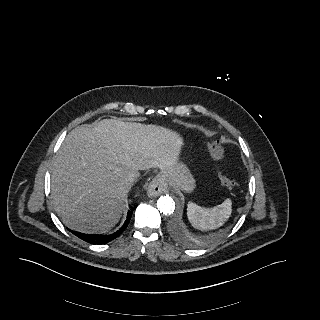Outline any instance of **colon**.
Segmentation results:
<instances>
[{
  "instance_id": "colon-1",
  "label": "colon",
  "mask_w": 320,
  "mask_h": 320,
  "mask_svg": "<svg viewBox=\"0 0 320 320\" xmlns=\"http://www.w3.org/2000/svg\"><path fill=\"white\" fill-rule=\"evenodd\" d=\"M210 148L213 156L220 161L224 155V151L220 143L218 141H213L210 144ZM218 176L221 184L228 189L235 188L238 185L234 179L228 177L221 169L218 170Z\"/></svg>"
}]
</instances>
